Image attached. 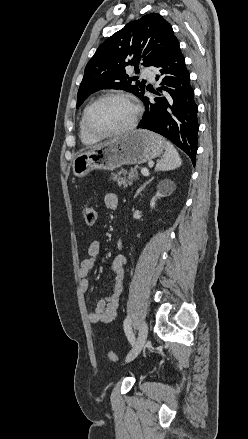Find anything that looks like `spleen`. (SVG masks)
Instances as JSON below:
<instances>
[{
	"mask_svg": "<svg viewBox=\"0 0 248 439\" xmlns=\"http://www.w3.org/2000/svg\"><path fill=\"white\" fill-rule=\"evenodd\" d=\"M181 164L179 153L170 142H167L165 153L156 165V171L173 170L180 167Z\"/></svg>",
	"mask_w": 248,
	"mask_h": 439,
	"instance_id": "3e777b00",
	"label": "spleen"
}]
</instances>
